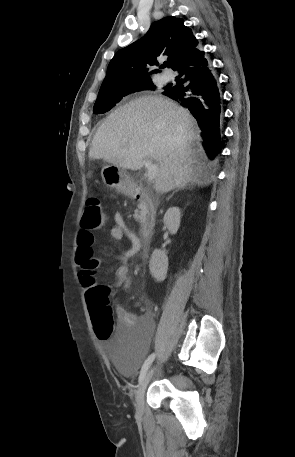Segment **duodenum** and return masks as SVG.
<instances>
[{
	"label": "duodenum",
	"mask_w": 295,
	"mask_h": 457,
	"mask_svg": "<svg viewBox=\"0 0 295 457\" xmlns=\"http://www.w3.org/2000/svg\"><path fill=\"white\" fill-rule=\"evenodd\" d=\"M132 197L138 201L143 208V221L140 230V241L142 250L146 251L151 243L155 229L154 204L147 192L141 188H134Z\"/></svg>",
	"instance_id": "410a0bca"
}]
</instances>
